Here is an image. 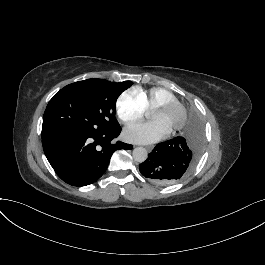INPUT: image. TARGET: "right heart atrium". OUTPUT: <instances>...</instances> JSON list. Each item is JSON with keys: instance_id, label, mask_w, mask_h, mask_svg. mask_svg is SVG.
<instances>
[{"instance_id": "d8ad5b80", "label": "right heart atrium", "mask_w": 265, "mask_h": 265, "mask_svg": "<svg viewBox=\"0 0 265 265\" xmlns=\"http://www.w3.org/2000/svg\"><path fill=\"white\" fill-rule=\"evenodd\" d=\"M119 118L126 124L140 120L146 113L141 99L133 92L127 91L117 102Z\"/></svg>"}]
</instances>
